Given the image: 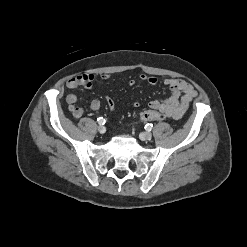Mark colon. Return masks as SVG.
Returning <instances> with one entry per match:
<instances>
[{
  "label": "colon",
  "instance_id": "5ec220e1",
  "mask_svg": "<svg viewBox=\"0 0 247 247\" xmlns=\"http://www.w3.org/2000/svg\"><path fill=\"white\" fill-rule=\"evenodd\" d=\"M164 118V114L154 109L146 110L140 114V119L143 121H162Z\"/></svg>",
  "mask_w": 247,
  "mask_h": 247
}]
</instances>
